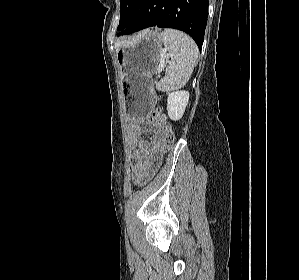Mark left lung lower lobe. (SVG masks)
<instances>
[{
  "instance_id": "left-lung-lower-lobe-1",
  "label": "left lung lower lobe",
  "mask_w": 299,
  "mask_h": 280,
  "mask_svg": "<svg viewBox=\"0 0 299 280\" xmlns=\"http://www.w3.org/2000/svg\"><path fill=\"white\" fill-rule=\"evenodd\" d=\"M208 6V0H138L131 23L120 35L152 26L174 28L189 34L201 50Z\"/></svg>"
}]
</instances>
